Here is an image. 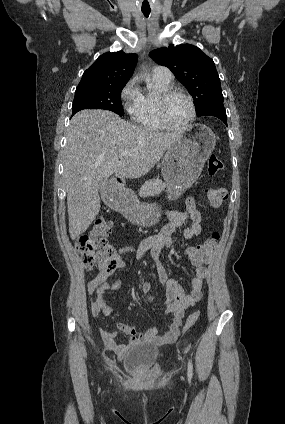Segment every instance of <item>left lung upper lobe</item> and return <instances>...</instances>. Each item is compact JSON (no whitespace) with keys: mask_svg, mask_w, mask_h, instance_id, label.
<instances>
[{"mask_svg":"<svg viewBox=\"0 0 285 424\" xmlns=\"http://www.w3.org/2000/svg\"><path fill=\"white\" fill-rule=\"evenodd\" d=\"M159 65L168 67L192 95L197 114L208 105L223 102L215 64L198 47L190 44L170 45L150 52Z\"/></svg>","mask_w":285,"mask_h":424,"instance_id":"1","label":"left lung upper lobe"}]
</instances>
